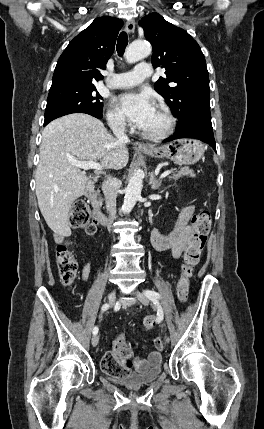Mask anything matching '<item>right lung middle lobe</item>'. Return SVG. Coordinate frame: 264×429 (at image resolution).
I'll use <instances>...</instances> for the list:
<instances>
[{"mask_svg": "<svg viewBox=\"0 0 264 429\" xmlns=\"http://www.w3.org/2000/svg\"><path fill=\"white\" fill-rule=\"evenodd\" d=\"M94 85H67L50 89L45 110V121L71 113H86L102 118L103 103Z\"/></svg>", "mask_w": 264, "mask_h": 429, "instance_id": "obj_1", "label": "right lung middle lobe"}]
</instances>
